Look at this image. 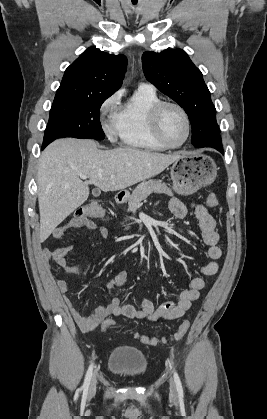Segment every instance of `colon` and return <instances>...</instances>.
Listing matches in <instances>:
<instances>
[{"mask_svg": "<svg viewBox=\"0 0 267 419\" xmlns=\"http://www.w3.org/2000/svg\"><path fill=\"white\" fill-rule=\"evenodd\" d=\"M206 204L209 207H216L218 205V199L214 194H211L206 199ZM105 212L103 208L96 203L87 204L85 206L80 207L74 215L76 219H100L103 218ZM115 327V322L112 319H107L102 323V329L104 331L111 330ZM190 328V321L185 320L181 323V325L177 328V330L169 336L170 340H179L181 339L189 330ZM135 336L140 339L144 343L148 344H157L159 342H165L166 338H157V337H150L148 335L138 334L136 333Z\"/></svg>", "mask_w": 267, "mask_h": 419, "instance_id": "5ec220e1", "label": "colon"}]
</instances>
